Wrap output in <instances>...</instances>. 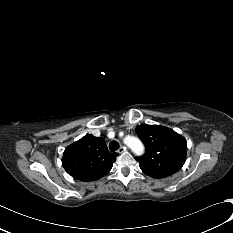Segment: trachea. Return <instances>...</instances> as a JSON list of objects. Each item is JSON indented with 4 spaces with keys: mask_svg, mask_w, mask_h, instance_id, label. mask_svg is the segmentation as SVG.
<instances>
[{
    "mask_svg": "<svg viewBox=\"0 0 233 233\" xmlns=\"http://www.w3.org/2000/svg\"><path fill=\"white\" fill-rule=\"evenodd\" d=\"M119 147V144L117 141H111L110 144H109V149L111 152H115Z\"/></svg>",
    "mask_w": 233,
    "mask_h": 233,
    "instance_id": "obj_1",
    "label": "trachea"
}]
</instances>
